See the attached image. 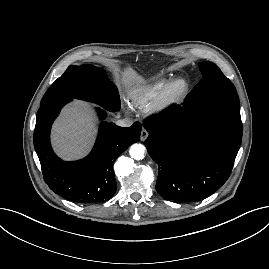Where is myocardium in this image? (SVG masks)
<instances>
[{
    "instance_id": "myocardium-1",
    "label": "myocardium",
    "mask_w": 269,
    "mask_h": 269,
    "mask_svg": "<svg viewBox=\"0 0 269 269\" xmlns=\"http://www.w3.org/2000/svg\"><path fill=\"white\" fill-rule=\"evenodd\" d=\"M189 83L183 77H177L166 84L153 105L154 112L165 111L179 104L187 95Z\"/></svg>"
}]
</instances>
